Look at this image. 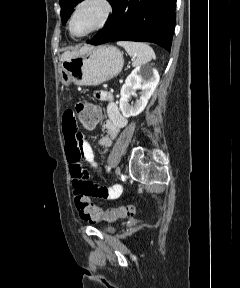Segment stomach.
I'll list each match as a JSON object with an SVG mask.
<instances>
[{
    "mask_svg": "<svg viewBox=\"0 0 240 288\" xmlns=\"http://www.w3.org/2000/svg\"><path fill=\"white\" fill-rule=\"evenodd\" d=\"M123 55L112 45L87 47L61 63L60 80L65 86L99 85L116 77L123 68Z\"/></svg>",
    "mask_w": 240,
    "mask_h": 288,
    "instance_id": "0dacf381",
    "label": "stomach"
}]
</instances>
